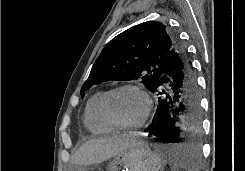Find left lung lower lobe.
I'll return each instance as SVG.
<instances>
[{
    "instance_id": "0a47b994",
    "label": "left lung lower lobe",
    "mask_w": 245,
    "mask_h": 171,
    "mask_svg": "<svg viewBox=\"0 0 245 171\" xmlns=\"http://www.w3.org/2000/svg\"><path fill=\"white\" fill-rule=\"evenodd\" d=\"M152 93L158 96V107L152 123L146 128L160 143L176 144L186 131L199 125L200 94L191 60L183 45L171 52L164 63L163 74ZM182 167H197L199 157L195 144L175 150Z\"/></svg>"
}]
</instances>
